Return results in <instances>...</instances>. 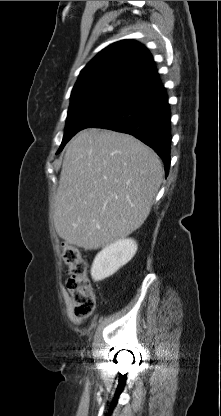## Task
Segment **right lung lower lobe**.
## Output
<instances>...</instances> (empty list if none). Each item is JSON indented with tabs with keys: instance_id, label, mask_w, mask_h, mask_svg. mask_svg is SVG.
I'll return each instance as SVG.
<instances>
[{
	"instance_id": "1",
	"label": "right lung lower lobe",
	"mask_w": 221,
	"mask_h": 416,
	"mask_svg": "<svg viewBox=\"0 0 221 416\" xmlns=\"http://www.w3.org/2000/svg\"><path fill=\"white\" fill-rule=\"evenodd\" d=\"M170 109L161 83L136 91L122 99L96 128L135 136L163 160L165 175L170 167Z\"/></svg>"
}]
</instances>
